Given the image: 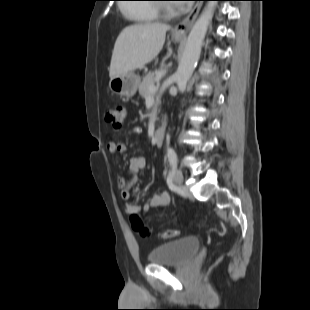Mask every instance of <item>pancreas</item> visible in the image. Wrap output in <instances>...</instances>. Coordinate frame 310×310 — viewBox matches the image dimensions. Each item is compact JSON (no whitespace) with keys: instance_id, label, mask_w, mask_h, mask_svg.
<instances>
[{"instance_id":"pancreas-1","label":"pancreas","mask_w":310,"mask_h":310,"mask_svg":"<svg viewBox=\"0 0 310 310\" xmlns=\"http://www.w3.org/2000/svg\"><path fill=\"white\" fill-rule=\"evenodd\" d=\"M156 80H155V74L154 73H148L142 80V82L139 84V94L143 98H147L150 96L149 88L151 86H154Z\"/></svg>"}]
</instances>
